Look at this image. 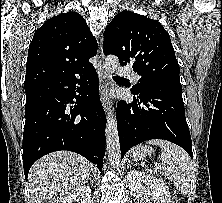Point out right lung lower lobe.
Wrapping results in <instances>:
<instances>
[{"mask_svg": "<svg viewBox=\"0 0 222 203\" xmlns=\"http://www.w3.org/2000/svg\"><path fill=\"white\" fill-rule=\"evenodd\" d=\"M26 92L23 167L60 150L81 154L101 171L105 155L106 116L96 70L56 78ZM74 105V106H71Z\"/></svg>", "mask_w": 222, "mask_h": 203, "instance_id": "right-lung-lower-lobe-1", "label": "right lung lower lobe"}]
</instances>
